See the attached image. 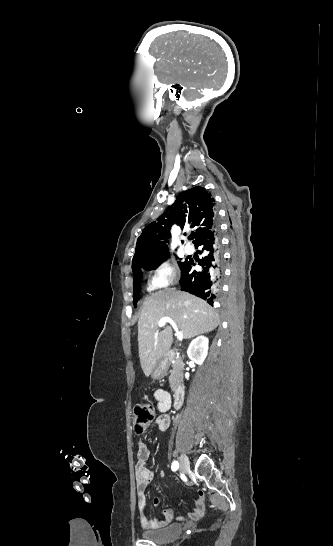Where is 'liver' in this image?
<instances>
[{"instance_id": "liver-1", "label": "liver", "mask_w": 333, "mask_h": 546, "mask_svg": "<svg viewBox=\"0 0 333 546\" xmlns=\"http://www.w3.org/2000/svg\"><path fill=\"white\" fill-rule=\"evenodd\" d=\"M163 317L173 319L184 339H191L216 329L220 317L204 300L175 289L151 293L144 301L138 320V348L141 368L148 377L157 362L171 347V326L162 331L158 322Z\"/></svg>"}]
</instances>
